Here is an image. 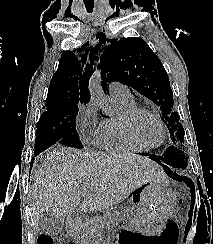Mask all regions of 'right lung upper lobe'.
I'll use <instances>...</instances> for the list:
<instances>
[{
    "mask_svg": "<svg viewBox=\"0 0 213 244\" xmlns=\"http://www.w3.org/2000/svg\"><path fill=\"white\" fill-rule=\"evenodd\" d=\"M93 62L94 60L87 62V58L83 56L79 60L71 51L63 52L58 69L50 82L46 104L88 103V82Z\"/></svg>",
    "mask_w": 213,
    "mask_h": 244,
    "instance_id": "cb5924a9",
    "label": "right lung upper lobe"
}]
</instances>
